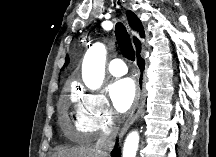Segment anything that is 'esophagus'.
<instances>
[{"label": "esophagus", "instance_id": "esophagus-1", "mask_svg": "<svg viewBox=\"0 0 216 157\" xmlns=\"http://www.w3.org/2000/svg\"><path fill=\"white\" fill-rule=\"evenodd\" d=\"M131 36H132L133 45H134V48L136 51V65H137V68L139 70V75L144 76L145 71H146V66L143 64V62L141 60V59H143L142 47L140 50L137 49V47H136L137 46V40L139 42H140V40L138 38V35L134 32L131 33ZM144 102H145L144 87H143L142 83L138 82L135 100H134V103L131 107L130 114H129L127 120L125 121L123 127L121 128L120 136H123L126 133V131L129 129V127L133 124V122L138 118L140 111L143 108Z\"/></svg>", "mask_w": 216, "mask_h": 157}]
</instances>
